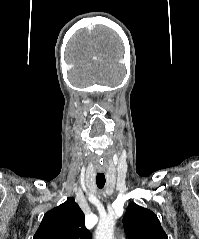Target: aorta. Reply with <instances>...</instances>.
I'll list each match as a JSON object with an SVG mask.
<instances>
[{
    "instance_id": "1",
    "label": "aorta",
    "mask_w": 199,
    "mask_h": 239,
    "mask_svg": "<svg viewBox=\"0 0 199 239\" xmlns=\"http://www.w3.org/2000/svg\"><path fill=\"white\" fill-rule=\"evenodd\" d=\"M115 219L112 215L102 218L95 231V239H113Z\"/></svg>"
}]
</instances>
